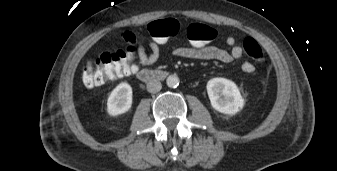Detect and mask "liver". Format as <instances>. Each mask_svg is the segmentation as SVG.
I'll use <instances>...</instances> for the list:
<instances>
[{"label":"liver","mask_w":337,"mask_h":171,"mask_svg":"<svg viewBox=\"0 0 337 171\" xmlns=\"http://www.w3.org/2000/svg\"><path fill=\"white\" fill-rule=\"evenodd\" d=\"M88 71L91 72L92 71V66H91V62L88 61V65H87Z\"/></svg>","instance_id":"obj_1"}]
</instances>
